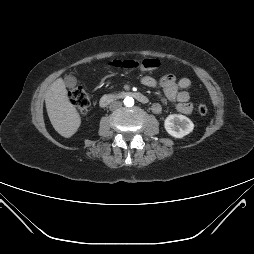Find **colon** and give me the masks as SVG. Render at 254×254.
Here are the masks:
<instances>
[{"instance_id": "5ec220e1", "label": "colon", "mask_w": 254, "mask_h": 254, "mask_svg": "<svg viewBox=\"0 0 254 254\" xmlns=\"http://www.w3.org/2000/svg\"><path fill=\"white\" fill-rule=\"evenodd\" d=\"M112 65L127 69L149 71L159 68L160 61L155 58H145L142 60H114ZM69 95L72 104L81 114H86L89 111L91 106V99L89 94L82 86H73L69 92ZM197 110L198 113L203 116L208 112V108L205 104H199Z\"/></svg>"}]
</instances>
